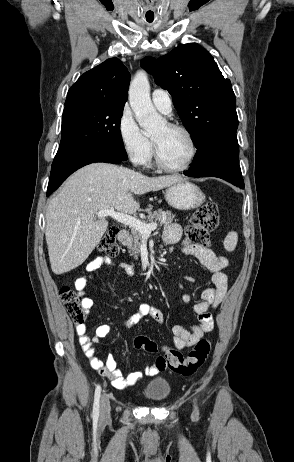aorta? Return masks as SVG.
Returning <instances> with one entry per match:
<instances>
[{
  "instance_id": "1",
  "label": "aorta",
  "mask_w": 294,
  "mask_h": 462,
  "mask_svg": "<svg viewBox=\"0 0 294 462\" xmlns=\"http://www.w3.org/2000/svg\"><path fill=\"white\" fill-rule=\"evenodd\" d=\"M129 101L140 127L151 133L161 127L162 117L156 112L150 98L147 74L139 71L129 87Z\"/></svg>"
}]
</instances>
